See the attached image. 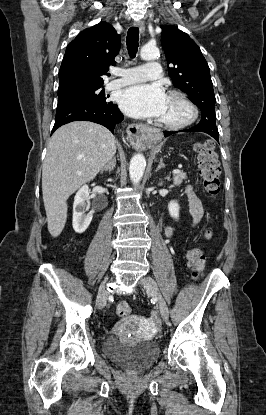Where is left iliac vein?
Instances as JSON below:
<instances>
[{"instance_id":"obj_1","label":"left iliac vein","mask_w":266,"mask_h":415,"mask_svg":"<svg viewBox=\"0 0 266 415\" xmlns=\"http://www.w3.org/2000/svg\"><path fill=\"white\" fill-rule=\"evenodd\" d=\"M140 284L146 288L147 293L149 295L157 298L161 317L163 321L167 322L169 318L168 307L165 300L159 292L156 281L152 277L146 276L140 280Z\"/></svg>"}]
</instances>
